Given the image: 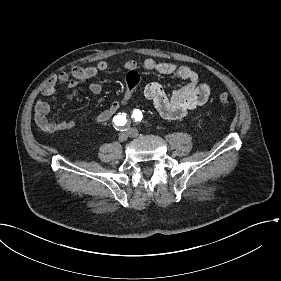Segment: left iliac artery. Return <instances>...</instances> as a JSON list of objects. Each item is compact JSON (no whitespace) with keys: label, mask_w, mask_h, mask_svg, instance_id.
I'll list each match as a JSON object with an SVG mask.
<instances>
[{"label":"left iliac artery","mask_w":281,"mask_h":281,"mask_svg":"<svg viewBox=\"0 0 281 281\" xmlns=\"http://www.w3.org/2000/svg\"><path fill=\"white\" fill-rule=\"evenodd\" d=\"M142 113L139 109H135L132 113V118L135 122H140L142 119Z\"/></svg>","instance_id":"44dca946"}]
</instances>
